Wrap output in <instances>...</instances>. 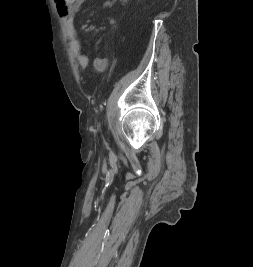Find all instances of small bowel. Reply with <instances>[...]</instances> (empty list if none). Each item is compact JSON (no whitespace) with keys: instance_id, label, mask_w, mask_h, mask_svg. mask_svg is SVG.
Listing matches in <instances>:
<instances>
[{"instance_id":"small-bowel-1","label":"small bowel","mask_w":253,"mask_h":267,"mask_svg":"<svg viewBox=\"0 0 253 267\" xmlns=\"http://www.w3.org/2000/svg\"><path fill=\"white\" fill-rule=\"evenodd\" d=\"M58 13L65 25L66 33L69 39L70 50L73 56L78 61L80 67L85 68L88 64V58L86 55L82 53L81 43L78 38V33L75 25V16L79 11L81 5L85 2V0H72L69 4H62L59 1L55 0ZM116 1H124V0H106L103 4V8L112 7L114 2ZM111 24L116 27L117 23L115 20L111 21ZM99 64L100 61H97Z\"/></svg>"}]
</instances>
